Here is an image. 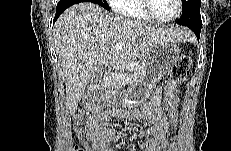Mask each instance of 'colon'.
Returning <instances> with one entry per match:
<instances>
[{
	"label": "colon",
	"mask_w": 231,
	"mask_h": 151,
	"mask_svg": "<svg viewBox=\"0 0 231 151\" xmlns=\"http://www.w3.org/2000/svg\"><path fill=\"white\" fill-rule=\"evenodd\" d=\"M192 59L188 55L180 57L173 65L165 94V105L168 113L169 123L172 129L176 130L179 123V112L177 109V99L174 90L191 72ZM83 127V115L80 111L74 113V128L80 135ZM75 151H79L78 148ZM168 151H176V147L172 144Z\"/></svg>",
	"instance_id": "5ec220e1"
}]
</instances>
